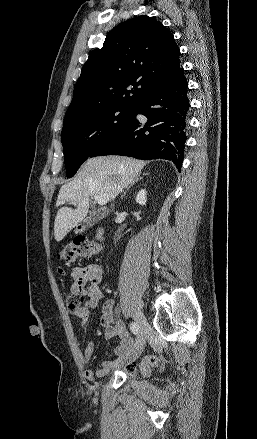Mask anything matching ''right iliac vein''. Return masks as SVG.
Returning <instances> with one entry per match:
<instances>
[{
  "mask_svg": "<svg viewBox=\"0 0 257 439\" xmlns=\"http://www.w3.org/2000/svg\"><path fill=\"white\" fill-rule=\"evenodd\" d=\"M135 320L139 325V335L136 340L135 352L131 358L132 360H136L141 354V352L143 351V348L145 346L146 332H147V321L145 319V316L141 312H139L135 316Z\"/></svg>",
  "mask_w": 257,
  "mask_h": 439,
  "instance_id": "obj_1",
  "label": "right iliac vein"
}]
</instances>
